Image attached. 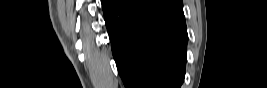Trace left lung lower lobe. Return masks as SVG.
<instances>
[{
  "label": "left lung lower lobe",
  "mask_w": 267,
  "mask_h": 88,
  "mask_svg": "<svg viewBox=\"0 0 267 88\" xmlns=\"http://www.w3.org/2000/svg\"><path fill=\"white\" fill-rule=\"evenodd\" d=\"M105 24L126 88H180L187 30L182 0H102Z\"/></svg>",
  "instance_id": "left-lung-lower-lobe-1"
}]
</instances>
